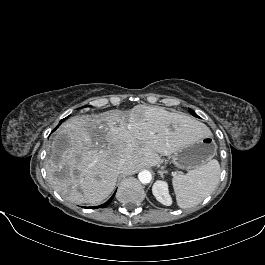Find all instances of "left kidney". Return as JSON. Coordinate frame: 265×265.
Segmentation results:
<instances>
[{
  "label": "left kidney",
  "instance_id": "left-kidney-1",
  "mask_svg": "<svg viewBox=\"0 0 265 265\" xmlns=\"http://www.w3.org/2000/svg\"><path fill=\"white\" fill-rule=\"evenodd\" d=\"M152 193L163 205L170 206L172 204L167 182L161 180L156 181L152 187Z\"/></svg>",
  "mask_w": 265,
  "mask_h": 265
}]
</instances>
